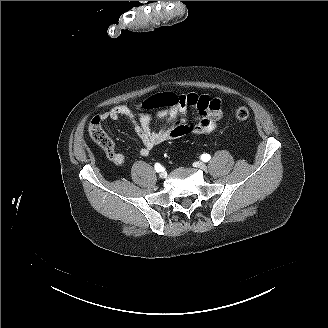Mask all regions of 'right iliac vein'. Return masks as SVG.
<instances>
[{
  "label": "right iliac vein",
  "mask_w": 328,
  "mask_h": 328,
  "mask_svg": "<svg viewBox=\"0 0 328 328\" xmlns=\"http://www.w3.org/2000/svg\"><path fill=\"white\" fill-rule=\"evenodd\" d=\"M166 176H167V172L165 170L161 171L159 174V177L162 179L166 178Z\"/></svg>",
  "instance_id": "1"
}]
</instances>
